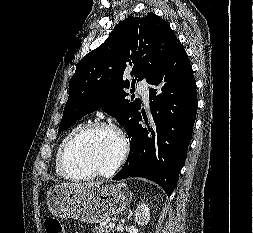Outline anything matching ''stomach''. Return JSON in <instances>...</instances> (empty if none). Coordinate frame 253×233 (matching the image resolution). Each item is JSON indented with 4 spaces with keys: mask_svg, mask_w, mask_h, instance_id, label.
I'll return each instance as SVG.
<instances>
[{
    "mask_svg": "<svg viewBox=\"0 0 253 233\" xmlns=\"http://www.w3.org/2000/svg\"><path fill=\"white\" fill-rule=\"evenodd\" d=\"M46 203L54 216L94 224L124 212L128 200L120 186L56 185L48 190Z\"/></svg>",
    "mask_w": 253,
    "mask_h": 233,
    "instance_id": "1",
    "label": "stomach"
}]
</instances>
